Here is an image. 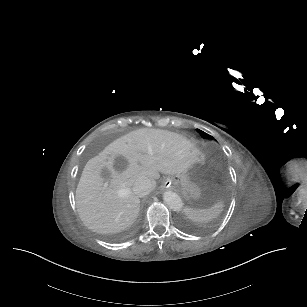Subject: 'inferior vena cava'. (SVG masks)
Here are the masks:
<instances>
[{
	"mask_svg": "<svg viewBox=\"0 0 307 307\" xmlns=\"http://www.w3.org/2000/svg\"><path fill=\"white\" fill-rule=\"evenodd\" d=\"M132 190L138 197H143L153 190V185L149 178L140 177L135 181Z\"/></svg>",
	"mask_w": 307,
	"mask_h": 307,
	"instance_id": "obj_1",
	"label": "inferior vena cava"
}]
</instances>
